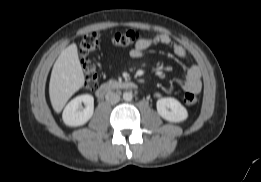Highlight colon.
<instances>
[{
	"label": "colon",
	"instance_id": "5ec220e1",
	"mask_svg": "<svg viewBox=\"0 0 261 182\" xmlns=\"http://www.w3.org/2000/svg\"><path fill=\"white\" fill-rule=\"evenodd\" d=\"M139 35L135 31H127L116 33L112 37V42L121 48L131 47L138 41ZM100 45V35L98 32H89L82 36L79 45V59L82 70L84 72L85 87L89 90L94 89L98 85V73L95 63L90 55ZM184 101L188 105H195L198 102L197 95L187 92L184 96Z\"/></svg>",
	"mask_w": 261,
	"mask_h": 182
}]
</instances>
